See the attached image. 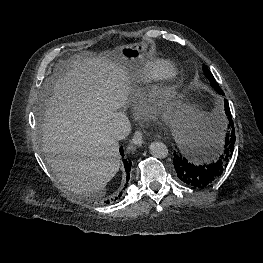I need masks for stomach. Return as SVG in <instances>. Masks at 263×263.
Returning <instances> with one entry per match:
<instances>
[{
    "label": "stomach",
    "instance_id": "stomach-1",
    "mask_svg": "<svg viewBox=\"0 0 263 263\" xmlns=\"http://www.w3.org/2000/svg\"><path fill=\"white\" fill-rule=\"evenodd\" d=\"M146 50H147V46L145 44L133 43V44L121 46L119 54L122 57H124L128 62L137 63V62L142 61V59L145 56ZM175 127H176V125H175Z\"/></svg>",
    "mask_w": 263,
    "mask_h": 263
}]
</instances>
